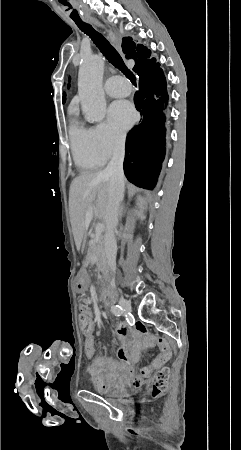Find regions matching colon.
Segmentation results:
<instances>
[{
	"mask_svg": "<svg viewBox=\"0 0 241 450\" xmlns=\"http://www.w3.org/2000/svg\"><path fill=\"white\" fill-rule=\"evenodd\" d=\"M79 333L86 336H91L93 334V317L85 316L84 319L80 321ZM154 372V371H153ZM165 373L160 371H155L152 379L151 390L149 391L150 396L153 399H158L162 397L165 390L168 388L169 375L172 374L171 368H166Z\"/></svg>",
	"mask_w": 241,
	"mask_h": 450,
	"instance_id": "obj_1",
	"label": "colon"
}]
</instances>
